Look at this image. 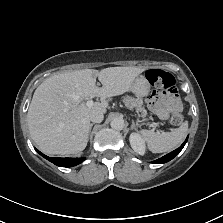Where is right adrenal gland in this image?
<instances>
[{"mask_svg": "<svg viewBox=\"0 0 223 223\" xmlns=\"http://www.w3.org/2000/svg\"><path fill=\"white\" fill-rule=\"evenodd\" d=\"M95 123H91L90 124V128H89V132H88V135H90V133H91V130H92V126L94 125Z\"/></svg>", "mask_w": 223, "mask_h": 223, "instance_id": "obj_1", "label": "right adrenal gland"}]
</instances>
